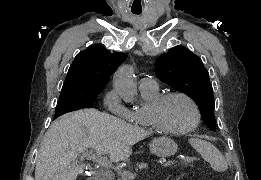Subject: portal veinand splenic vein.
<instances>
[{
    "instance_id": "1",
    "label": "portal vein and splenic vein",
    "mask_w": 261,
    "mask_h": 180,
    "mask_svg": "<svg viewBox=\"0 0 261 180\" xmlns=\"http://www.w3.org/2000/svg\"><path fill=\"white\" fill-rule=\"evenodd\" d=\"M86 156H91V160H94V162H99V164H111L107 158H101V156H97V154H94V152H91V150H88V154ZM178 162V159L171 158L170 161H165L164 165H160V170H167L168 167H173L174 163ZM110 168H113L117 174H121V180H134V177H138V172H127V170H122V168H114V166H110Z\"/></svg>"
}]
</instances>
